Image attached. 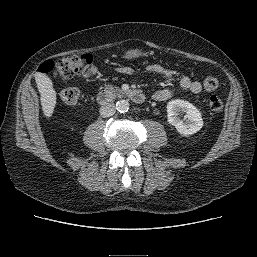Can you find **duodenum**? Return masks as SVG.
I'll use <instances>...</instances> for the list:
<instances>
[{
    "mask_svg": "<svg viewBox=\"0 0 257 257\" xmlns=\"http://www.w3.org/2000/svg\"><path fill=\"white\" fill-rule=\"evenodd\" d=\"M115 95H116V93H114L111 90H104V91H101L98 93L97 101L101 105H107L113 100ZM119 95L130 99L131 101H133L136 104L143 103V101L145 99L144 94L140 90H136V89L124 90V91L120 92Z\"/></svg>",
    "mask_w": 257,
    "mask_h": 257,
    "instance_id": "410a0bca",
    "label": "duodenum"
}]
</instances>
